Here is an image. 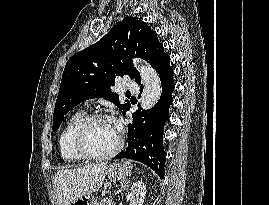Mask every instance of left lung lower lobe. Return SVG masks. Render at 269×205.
Instances as JSON below:
<instances>
[{"instance_id":"1","label":"left lung lower lobe","mask_w":269,"mask_h":205,"mask_svg":"<svg viewBox=\"0 0 269 205\" xmlns=\"http://www.w3.org/2000/svg\"><path fill=\"white\" fill-rule=\"evenodd\" d=\"M156 71L162 85L160 100L150 110H138L133 113V122L128 125V146L114 159L127 158L142 162L163 179L166 159L163 148V131L165 122L169 119V107L173 101L172 92L175 88L174 71L170 66L168 55L158 63ZM142 89L141 85V92Z\"/></svg>"}]
</instances>
